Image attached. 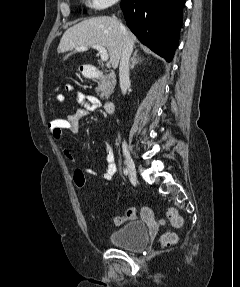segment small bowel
<instances>
[{"mask_svg":"<svg viewBox=\"0 0 240 287\" xmlns=\"http://www.w3.org/2000/svg\"><path fill=\"white\" fill-rule=\"evenodd\" d=\"M64 89L66 92L73 95L77 100V102L80 104V107L74 113L68 115L66 118L68 122V128L66 132L70 134H77L81 119L88 116L91 112L97 110L100 106V102L97 97L77 91L71 85L68 84L65 85ZM54 99L59 103H63L66 101V96L63 93H58L55 95ZM54 139L59 144H61L62 151L65 157L69 161L76 163V160L72 155V153L66 147L63 146V137L61 138L54 137ZM105 165L106 166L104 172L102 173V178L104 180L109 181L114 177V175L117 172V165L115 162L114 152L111 145L109 144L106 145L105 150ZM81 171L91 176L97 175V172L91 168H85ZM141 217L146 220L151 219L153 217L152 210L149 207H143L141 209Z\"/></svg>","mask_w":240,"mask_h":287,"instance_id":"small-bowel-1","label":"small bowel"}]
</instances>
